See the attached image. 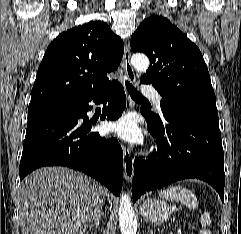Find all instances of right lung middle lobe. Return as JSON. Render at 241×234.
<instances>
[{
  "label": "right lung middle lobe",
  "mask_w": 241,
  "mask_h": 234,
  "mask_svg": "<svg viewBox=\"0 0 241 234\" xmlns=\"http://www.w3.org/2000/svg\"><path fill=\"white\" fill-rule=\"evenodd\" d=\"M75 105L76 104L61 102H49L29 105L28 116L67 110Z\"/></svg>",
  "instance_id": "right-lung-middle-lobe-1"
}]
</instances>
